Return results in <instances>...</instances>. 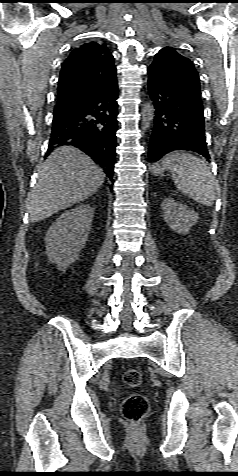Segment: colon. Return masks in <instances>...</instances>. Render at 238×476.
I'll return each instance as SVG.
<instances>
[{
  "label": "colon",
  "mask_w": 238,
  "mask_h": 476,
  "mask_svg": "<svg viewBox=\"0 0 238 476\" xmlns=\"http://www.w3.org/2000/svg\"><path fill=\"white\" fill-rule=\"evenodd\" d=\"M123 381L129 387L137 388L142 384V374L137 369H127L123 374ZM147 411L148 401L141 394H131L123 401L122 415L127 421L131 423L140 422Z\"/></svg>",
  "instance_id": "5ec220e1"
}]
</instances>
